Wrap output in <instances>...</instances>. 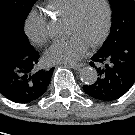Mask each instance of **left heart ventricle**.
<instances>
[{
	"label": "left heart ventricle",
	"mask_w": 135,
	"mask_h": 135,
	"mask_svg": "<svg viewBox=\"0 0 135 135\" xmlns=\"http://www.w3.org/2000/svg\"><path fill=\"white\" fill-rule=\"evenodd\" d=\"M104 23V7L100 0H87L82 7L79 20H68V34L79 35L88 44L99 34Z\"/></svg>",
	"instance_id": "left-heart-ventricle-1"
}]
</instances>
